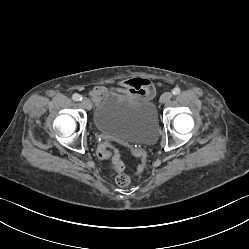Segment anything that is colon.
I'll return each instance as SVG.
<instances>
[{
	"instance_id": "colon-1",
	"label": "colon",
	"mask_w": 249,
	"mask_h": 249,
	"mask_svg": "<svg viewBox=\"0 0 249 249\" xmlns=\"http://www.w3.org/2000/svg\"><path fill=\"white\" fill-rule=\"evenodd\" d=\"M135 154L141 158V163L137 168V173H141L145 168L146 150L144 148H138L135 150ZM98 155L102 158H112L113 168L116 172H118V175L115 179L118 186L125 187L130 184V178L127 175L121 173L124 169V165L118 158L119 150L115 146L103 143L99 148Z\"/></svg>"
}]
</instances>
